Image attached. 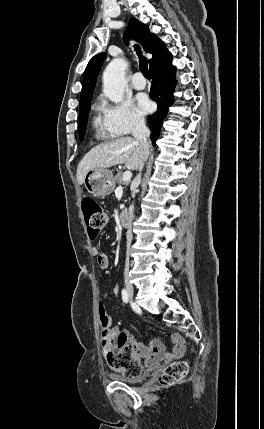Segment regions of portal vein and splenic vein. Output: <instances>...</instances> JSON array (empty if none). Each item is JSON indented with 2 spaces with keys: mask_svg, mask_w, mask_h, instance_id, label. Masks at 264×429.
Returning <instances> with one entry per match:
<instances>
[{
  "mask_svg": "<svg viewBox=\"0 0 264 429\" xmlns=\"http://www.w3.org/2000/svg\"><path fill=\"white\" fill-rule=\"evenodd\" d=\"M131 177H132V172H131V171H125V172L123 173V178H122V180H123L124 182H126V181H130Z\"/></svg>",
  "mask_w": 264,
  "mask_h": 429,
  "instance_id": "18ae733b",
  "label": "portal vein and splenic vein"
}]
</instances>
